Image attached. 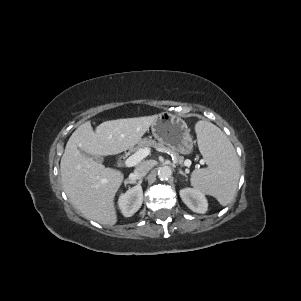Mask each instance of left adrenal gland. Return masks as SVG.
I'll list each match as a JSON object with an SVG mask.
<instances>
[{
	"label": "left adrenal gland",
	"mask_w": 301,
	"mask_h": 301,
	"mask_svg": "<svg viewBox=\"0 0 301 301\" xmlns=\"http://www.w3.org/2000/svg\"><path fill=\"white\" fill-rule=\"evenodd\" d=\"M178 172H179V174L186 176V174L182 170H179Z\"/></svg>",
	"instance_id": "a2214340"
}]
</instances>
